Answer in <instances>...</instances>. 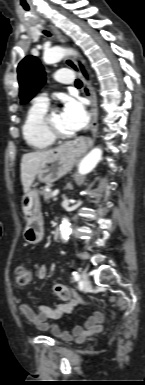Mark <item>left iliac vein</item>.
I'll return each mask as SVG.
<instances>
[{
    "instance_id": "1",
    "label": "left iliac vein",
    "mask_w": 145,
    "mask_h": 385,
    "mask_svg": "<svg viewBox=\"0 0 145 385\" xmlns=\"http://www.w3.org/2000/svg\"><path fill=\"white\" fill-rule=\"evenodd\" d=\"M81 281H82V284L85 288H88L90 287L91 283H90V280H89V276L88 274L83 271L82 274H81Z\"/></svg>"
}]
</instances>
